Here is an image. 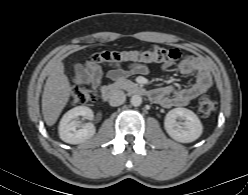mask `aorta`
I'll list each match as a JSON object with an SVG mask.
<instances>
[{
	"label": "aorta",
	"mask_w": 248,
	"mask_h": 195,
	"mask_svg": "<svg viewBox=\"0 0 248 195\" xmlns=\"http://www.w3.org/2000/svg\"><path fill=\"white\" fill-rule=\"evenodd\" d=\"M131 104L135 107L140 106L142 103V97L140 95H133L130 100Z\"/></svg>",
	"instance_id": "1"
}]
</instances>
